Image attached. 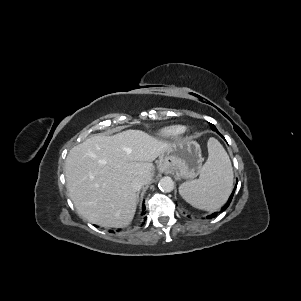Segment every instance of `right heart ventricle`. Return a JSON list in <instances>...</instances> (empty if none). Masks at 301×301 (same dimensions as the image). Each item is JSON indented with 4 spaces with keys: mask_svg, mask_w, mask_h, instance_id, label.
I'll list each match as a JSON object with an SVG mask.
<instances>
[{
    "mask_svg": "<svg viewBox=\"0 0 301 301\" xmlns=\"http://www.w3.org/2000/svg\"><path fill=\"white\" fill-rule=\"evenodd\" d=\"M186 128L182 125H171L164 127L158 131V135L167 139H175L183 135Z\"/></svg>",
    "mask_w": 301,
    "mask_h": 301,
    "instance_id": "obj_1",
    "label": "right heart ventricle"
}]
</instances>
